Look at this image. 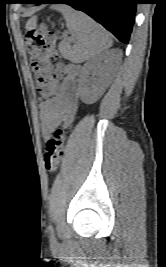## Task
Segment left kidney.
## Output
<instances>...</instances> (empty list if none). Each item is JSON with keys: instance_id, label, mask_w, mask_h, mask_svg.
Masks as SVG:
<instances>
[{"instance_id": "5707ae66", "label": "left kidney", "mask_w": 166, "mask_h": 267, "mask_svg": "<svg viewBox=\"0 0 166 267\" xmlns=\"http://www.w3.org/2000/svg\"><path fill=\"white\" fill-rule=\"evenodd\" d=\"M90 73L98 76V79L90 81ZM109 83L108 54L103 53L90 59L82 68L78 80V92L82 102L95 103L103 95Z\"/></svg>"}]
</instances>
